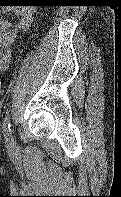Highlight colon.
<instances>
[{
  "instance_id": "colon-1",
  "label": "colon",
  "mask_w": 121,
  "mask_h": 197,
  "mask_svg": "<svg viewBox=\"0 0 121 197\" xmlns=\"http://www.w3.org/2000/svg\"><path fill=\"white\" fill-rule=\"evenodd\" d=\"M3 90H2V82L0 80V95L2 94Z\"/></svg>"
}]
</instances>
